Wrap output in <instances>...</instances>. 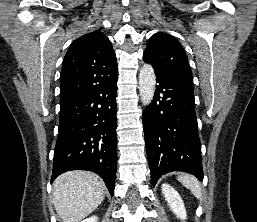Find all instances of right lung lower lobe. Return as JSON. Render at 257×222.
Listing matches in <instances>:
<instances>
[{"label":"right lung lower lobe","instance_id":"98d812e1","mask_svg":"<svg viewBox=\"0 0 257 222\" xmlns=\"http://www.w3.org/2000/svg\"><path fill=\"white\" fill-rule=\"evenodd\" d=\"M117 75L61 105L51 182L69 170L100 175L111 196L117 167Z\"/></svg>","mask_w":257,"mask_h":222}]
</instances>
